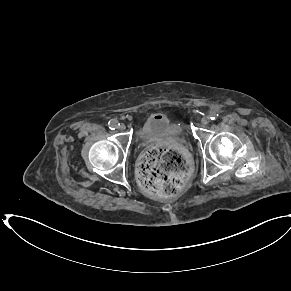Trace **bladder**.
I'll return each instance as SVG.
<instances>
[{"mask_svg":"<svg viewBox=\"0 0 291 291\" xmlns=\"http://www.w3.org/2000/svg\"><path fill=\"white\" fill-rule=\"evenodd\" d=\"M185 127L181 122H174L164 114L148 117L139 127L137 135L140 139H153L161 136L181 138Z\"/></svg>","mask_w":291,"mask_h":291,"instance_id":"bladder-1","label":"bladder"}]
</instances>
